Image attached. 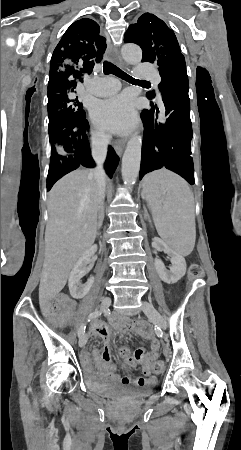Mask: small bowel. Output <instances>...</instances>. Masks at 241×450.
<instances>
[{
    "mask_svg": "<svg viewBox=\"0 0 241 450\" xmlns=\"http://www.w3.org/2000/svg\"><path fill=\"white\" fill-rule=\"evenodd\" d=\"M44 310L37 312L39 319H55L58 317L61 309L68 307V302L63 300H46L43 302ZM73 314L67 310H63L60 313L61 318L67 319ZM62 327L64 324L59 322L57 324ZM128 332H134L141 335L149 342V350L144 347L137 348L133 354L130 353L129 348L120 347L117 350L118 356L123 363L132 367H141L143 376L131 377L120 376L115 372V364L111 361V348L110 340L116 333L126 334ZM90 333L99 339H101L103 348L101 355H98L97 351H94L96 357V364H94L88 354L84 355V361L87 371L92 375L93 381L106 385H121V386H133L136 388L148 390L157 383L156 377L153 375L152 364L158 359L160 351V343L155 337L153 331L149 325H141V322L129 320L117 323L114 328L100 323L94 322L90 327Z\"/></svg>",
    "mask_w": 241,
    "mask_h": 450,
    "instance_id": "1",
    "label": "small bowel"
}]
</instances>
